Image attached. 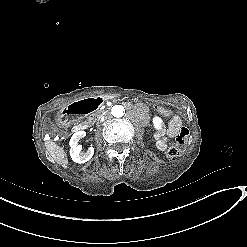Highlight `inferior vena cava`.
I'll return each instance as SVG.
<instances>
[{
    "label": "inferior vena cava",
    "instance_id": "obj_1",
    "mask_svg": "<svg viewBox=\"0 0 247 247\" xmlns=\"http://www.w3.org/2000/svg\"><path fill=\"white\" fill-rule=\"evenodd\" d=\"M105 114H102L101 116H100V118L99 119H101V118H103V116H104Z\"/></svg>",
    "mask_w": 247,
    "mask_h": 247
}]
</instances>
